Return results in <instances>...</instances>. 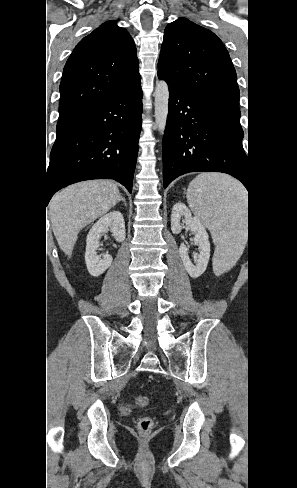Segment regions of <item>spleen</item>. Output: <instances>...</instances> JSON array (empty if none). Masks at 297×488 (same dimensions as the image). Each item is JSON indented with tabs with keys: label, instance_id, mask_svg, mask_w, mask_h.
I'll list each match as a JSON object with an SVG mask.
<instances>
[{
	"label": "spleen",
	"instance_id": "1",
	"mask_svg": "<svg viewBox=\"0 0 297 488\" xmlns=\"http://www.w3.org/2000/svg\"><path fill=\"white\" fill-rule=\"evenodd\" d=\"M186 197L193 213L212 234L216 244L214 267L230 268L245 244V189L230 176L202 173L189 184Z\"/></svg>",
	"mask_w": 297,
	"mask_h": 488
}]
</instances>
